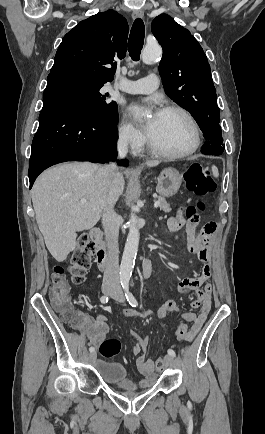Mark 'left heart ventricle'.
I'll return each instance as SVG.
<instances>
[{"label":"left heart ventricle","mask_w":265,"mask_h":434,"mask_svg":"<svg viewBox=\"0 0 265 434\" xmlns=\"http://www.w3.org/2000/svg\"><path fill=\"white\" fill-rule=\"evenodd\" d=\"M192 128L178 112L161 113L150 141L160 150L176 153L188 148L192 142Z\"/></svg>","instance_id":"left-heart-ventricle-1"}]
</instances>
